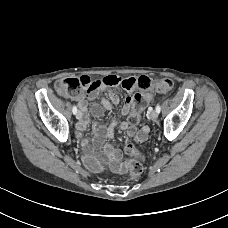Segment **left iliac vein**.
<instances>
[{
    "instance_id": "obj_1",
    "label": "left iliac vein",
    "mask_w": 228,
    "mask_h": 228,
    "mask_svg": "<svg viewBox=\"0 0 228 228\" xmlns=\"http://www.w3.org/2000/svg\"><path fill=\"white\" fill-rule=\"evenodd\" d=\"M158 114H159V113H158L156 110H153V111L151 112L150 116H151V118H152L153 120H155V119L158 118Z\"/></svg>"
}]
</instances>
